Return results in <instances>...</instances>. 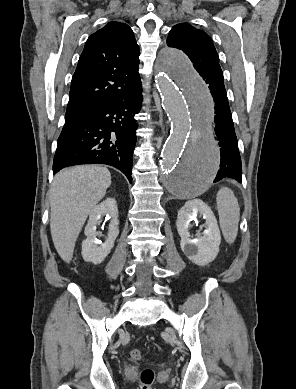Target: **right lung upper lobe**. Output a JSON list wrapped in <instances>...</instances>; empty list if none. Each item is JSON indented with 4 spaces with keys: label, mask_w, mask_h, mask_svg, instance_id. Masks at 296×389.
<instances>
[{
    "label": "right lung upper lobe",
    "mask_w": 296,
    "mask_h": 389,
    "mask_svg": "<svg viewBox=\"0 0 296 389\" xmlns=\"http://www.w3.org/2000/svg\"><path fill=\"white\" fill-rule=\"evenodd\" d=\"M139 54L125 23L109 22L92 34L72 77L65 121L120 99L138 76Z\"/></svg>",
    "instance_id": "cb5924a9"
}]
</instances>
